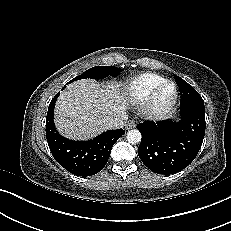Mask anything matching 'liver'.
I'll list each match as a JSON object with an SVG mask.
<instances>
[{"label": "liver", "instance_id": "obj_1", "mask_svg": "<svg viewBox=\"0 0 231 231\" xmlns=\"http://www.w3.org/2000/svg\"><path fill=\"white\" fill-rule=\"evenodd\" d=\"M124 91L114 82L82 79L69 84L55 105V125L70 139L85 140L107 130L109 118L126 111Z\"/></svg>", "mask_w": 231, "mask_h": 231}]
</instances>
